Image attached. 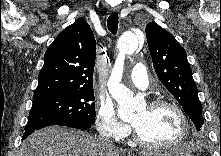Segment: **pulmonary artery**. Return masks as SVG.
I'll use <instances>...</instances> for the list:
<instances>
[{"label": "pulmonary artery", "instance_id": "pulmonary-artery-1", "mask_svg": "<svg viewBox=\"0 0 221 156\" xmlns=\"http://www.w3.org/2000/svg\"><path fill=\"white\" fill-rule=\"evenodd\" d=\"M130 81L139 89H146L149 84V79L145 66L138 63L134 66L130 74Z\"/></svg>", "mask_w": 221, "mask_h": 156}]
</instances>
